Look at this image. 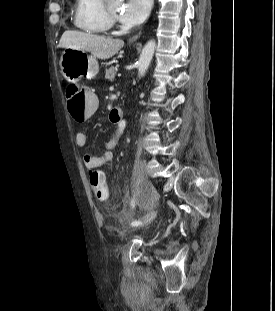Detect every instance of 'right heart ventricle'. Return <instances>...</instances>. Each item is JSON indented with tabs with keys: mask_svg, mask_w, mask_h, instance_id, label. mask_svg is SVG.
I'll use <instances>...</instances> for the list:
<instances>
[{
	"mask_svg": "<svg viewBox=\"0 0 275 311\" xmlns=\"http://www.w3.org/2000/svg\"><path fill=\"white\" fill-rule=\"evenodd\" d=\"M104 6L105 0H76L73 10L74 27L88 34L106 33L110 22Z\"/></svg>",
	"mask_w": 275,
	"mask_h": 311,
	"instance_id": "e07e8e85",
	"label": "right heart ventricle"
}]
</instances>
